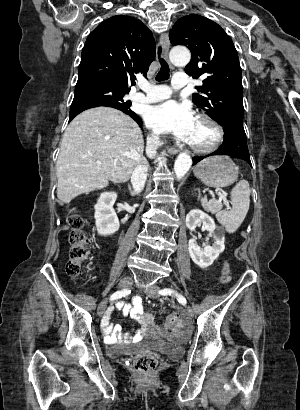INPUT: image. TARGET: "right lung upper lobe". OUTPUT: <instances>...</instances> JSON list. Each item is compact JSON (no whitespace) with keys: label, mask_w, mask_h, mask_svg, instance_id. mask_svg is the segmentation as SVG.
<instances>
[{"label":"right lung upper lobe","mask_w":300,"mask_h":410,"mask_svg":"<svg viewBox=\"0 0 300 410\" xmlns=\"http://www.w3.org/2000/svg\"><path fill=\"white\" fill-rule=\"evenodd\" d=\"M153 60L152 32L136 18L113 16L88 36L77 83H101L129 92V85L136 78L134 73L146 76Z\"/></svg>","instance_id":"1"}]
</instances>
